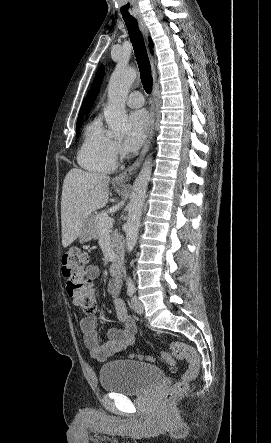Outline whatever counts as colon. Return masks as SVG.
<instances>
[{"label":"colon","mask_w":271,"mask_h":443,"mask_svg":"<svg viewBox=\"0 0 271 443\" xmlns=\"http://www.w3.org/2000/svg\"><path fill=\"white\" fill-rule=\"evenodd\" d=\"M89 262L86 251L74 248L66 252L62 257V272L67 279V293L73 299L76 306L80 307L87 315H93L96 311L95 289L92 281L86 276L85 268ZM172 356L175 359L185 360L188 363L187 370L181 379L171 386L163 396L166 404H172L187 389L188 383L194 380L200 370V359L194 348L183 342H172L170 345ZM167 352L161 353V358L170 366L174 364L173 357ZM140 358H143L140 356ZM151 360V357H146Z\"/></svg>","instance_id":"colon-1"}]
</instances>
